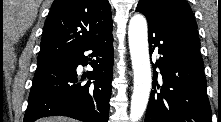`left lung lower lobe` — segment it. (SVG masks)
<instances>
[{
  "mask_svg": "<svg viewBox=\"0 0 221 122\" xmlns=\"http://www.w3.org/2000/svg\"><path fill=\"white\" fill-rule=\"evenodd\" d=\"M137 10L148 20L150 56L160 53L145 122H212L197 29L164 21L150 6Z\"/></svg>",
  "mask_w": 221,
  "mask_h": 122,
  "instance_id": "0a47b994",
  "label": "left lung lower lobe"
}]
</instances>
